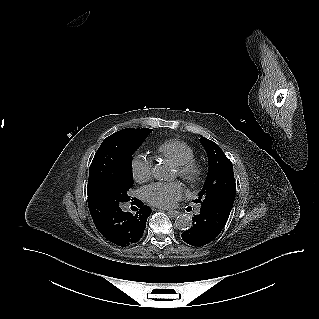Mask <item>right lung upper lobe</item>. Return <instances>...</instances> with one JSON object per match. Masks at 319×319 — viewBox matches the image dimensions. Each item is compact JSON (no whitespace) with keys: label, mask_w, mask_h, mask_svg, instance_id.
Instances as JSON below:
<instances>
[{"label":"right lung upper lobe","mask_w":319,"mask_h":319,"mask_svg":"<svg viewBox=\"0 0 319 319\" xmlns=\"http://www.w3.org/2000/svg\"><path fill=\"white\" fill-rule=\"evenodd\" d=\"M135 130H143V129H135Z\"/></svg>","instance_id":"cb5924a9"}]
</instances>
